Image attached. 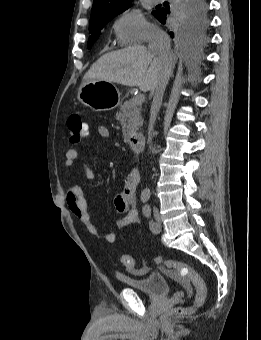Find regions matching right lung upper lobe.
Here are the masks:
<instances>
[{"label":"right lung upper lobe","instance_id":"right-lung-upper-lobe-1","mask_svg":"<svg viewBox=\"0 0 261 340\" xmlns=\"http://www.w3.org/2000/svg\"><path fill=\"white\" fill-rule=\"evenodd\" d=\"M130 5V0H94L90 23L106 17L116 16Z\"/></svg>","mask_w":261,"mask_h":340}]
</instances>
